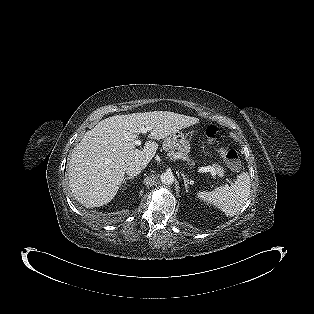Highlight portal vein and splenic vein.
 Wrapping results in <instances>:
<instances>
[{"instance_id":"obj_1","label":"portal vein and splenic vein","mask_w":314,"mask_h":314,"mask_svg":"<svg viewBox=\"0 0 314 314\" xmlns=\"http://www.w3.org/2000/svg\"><path fill=\"white\" fill-rule=\"evenodd\" d=\"M149 130H150V127H146V128L143 127V128H141V132H142L143 134H146ZM134 144H135V145H141V141H140V140H135V141H134ZM200 171H201V172H210L213 176L216 175L212 166L202 167V168L200 169Z\"/></svg>"}]
</instances>
